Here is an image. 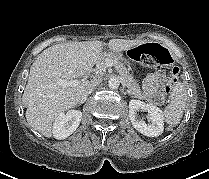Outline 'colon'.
<instances>
[{"instance_id":"5ec220e1","label":"colon","mask_w":209,"mask_h":179,"mask_svg":"<svg viewBox=\"0 0 209 179\" xmlns=\"http://www.w3.org/2000/svg\"><path fill=\"white\" fill-rule=\"evenodd\" d=\"M128 55L131 59L151 67L166 65L171 62L170 53L159 44H135L128 50ZM178 75L179 69L174 67L164 86L166 94H169L172 90V87L178 80Z\"/></svg>"}]
</instances>
